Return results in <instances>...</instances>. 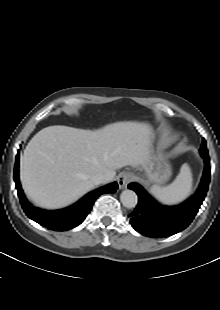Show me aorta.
<instances>
[{
  "instance_id": "aorta-1",
  "label": "aorta",
  "mask_w": 220,
  "mask_h": 310,
  "mask_svg": "<svg viewBox=\"0 0 220 310\" xmlns=\"http://www.w3.org/2000/svg\"><path fill=\"white\" fill-rule=\"evenodd\" d=\"M120 200L124 207L131 209L136 206L138 198L134 191L127 189L121 193Z\"/></svg>"
}]
</instances>
